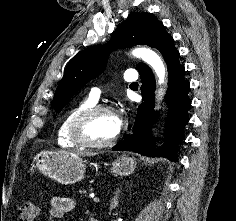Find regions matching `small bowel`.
<instances>
[{"label": "small bowel", "instance_id": "1", "mask_svg": "<svg viewBox=\"0 0 236 221\" xmlns=\"http://www.w3.org/2000/svg\"><path fill=\"white\" fill-rule=\"evenodd\" d=\"M76 207L74 199L69 197H53L49 209V221H56L65 217V215Z\"/></svg>", "mask_w": 236, "mask_h": 221}]
</instances>
